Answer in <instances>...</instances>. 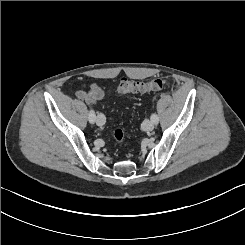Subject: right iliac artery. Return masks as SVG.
Here are the masks:
<instances>
[{
	"instance_id": "1",
	"label": "right iliac artery",
	"mask_w": 245,
	"mask_h": 245,
	"mask_svg": "<svg viewBox=\"0 0 245 245\" xmlns=\"http://www.w3.org/2000/svg\"><path fill=\"white\" fill-rule=\"evenodd\" d=\"M88 118H89L90 123H94L95 122L96 115H95V112H94L93 109H90Z\"/></svg>"
}]
</instances>
